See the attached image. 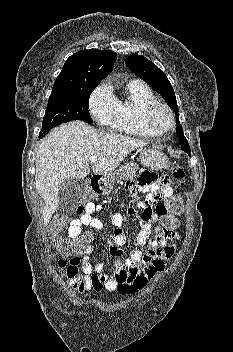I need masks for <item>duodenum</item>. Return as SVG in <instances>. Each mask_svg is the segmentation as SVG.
I'll list each match as a JSON object with an SVG mask.
<instances>
[{
  "instance_id": "1",
  "label": "duodenum",
  "mask_w": 233,
  "mask_h": 352,
  "mask_svg": "<svg viewBox=\"0 0 233 352\" xmlns=\"http://www.w3.org/2000/svg\"><path fill=\"white\" fill-rule=\"evenodd\" d=\"M103 179L100 176H93L91 178V190L98 194L102 190Z\"/></svg>"
}]
</instances>
